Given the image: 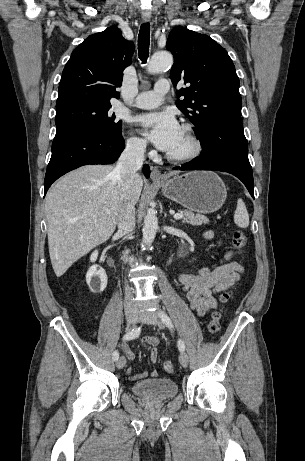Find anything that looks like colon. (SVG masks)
Instances as JSON below:
<instances>
[{"label":"colon","instance_id":"5ec220e1","mask_svg":"<svg viewBox=\"0 0 305 461\" xmlns=\"http://www.w3.org/2000/svg\"><path fill=\"white\" fill-rule=\"evenodd\" d=\"M233 246L236 249H242L247 243V237L245 233L241 230H237L233 234L232 238ZM230 298V291H223L219 296L220 303H226ZM220 322H221V313L220 311L216 310L212 313L211 319L208 325V330L211 334H216L220 330ZM164 370L167 373H173L175 370V364L171 361L164 362Z\"/></svg>","mask_w":305,"mask_h":461}]
</instances>
